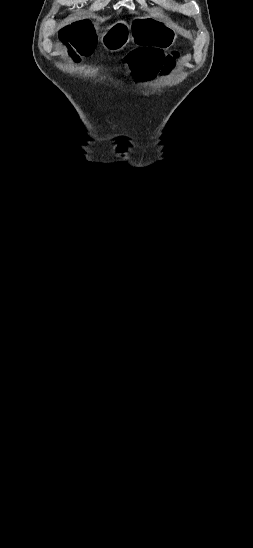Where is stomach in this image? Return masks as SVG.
<instances>
[{
	"mask_svg": "<svg viewBox=\"0 0 253 548\" xmlns=\"http://www.w3.org/2000/svg\"><path fill=\"white\" fill-rule=\"evenodd\" d=\"M175 39V32L163 22L141 17L135 19L133 25H128L124 20L114 23L101 36V44L106 50L116 52L123 49L130 41L137 44L163 43V46L168 47L174 43Z\"/></svg>",
	"mask_w": 253,
	"mask_h": 548,
	"instance_id": "obj_1",
	"label": "stomach"
}]
</instances>
